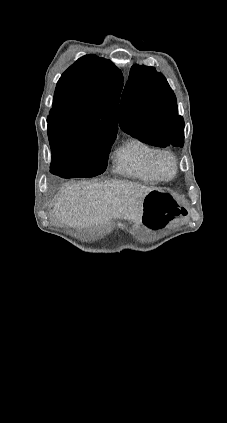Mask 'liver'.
I'll list each match as a JSON object with an SVG mask.
<instances>
[{
    "mask_svg": "<svg viewBox=\"0 0 227 423\" xmlns=\"http://www.w3.org/2000/svg\"><path fill=\"white\" fill-rule=\"evenodd\" d=\"M152 190L128 180L69 184L61 190L52 217L79 229L108 223L113 217L140 219L143 200Z\"/></svg>",
    "mask_w": 227,
    "mask_h": 423,
    "instance_id": "1",
    "label": "liver"
}]
</instances>
